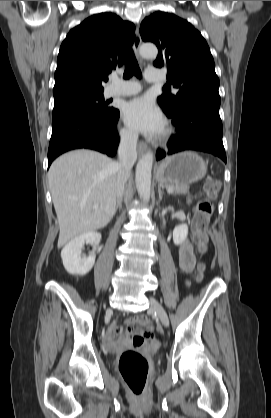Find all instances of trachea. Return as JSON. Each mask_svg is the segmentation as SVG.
<instances>
[{"mask_svg":"<svg viewBox=\"0 0 271 418\" xmlns=\"http://www.w3.org/2000/svg\"><path fill=\"white\" fill-rule=\"evenodd\" d=\"M133 75L137 76L138 78H141V71L137 63V60L134 56L133 51H130L125 65L124 78L129 79Z\"/></svg>","mask_w":271,"mask_h":418,"instance_id":"1","label":"trachea"}]
</instances>
